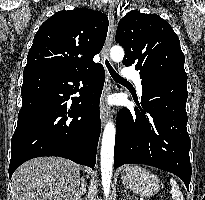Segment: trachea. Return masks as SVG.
<instances>
[{"label":"trachea","mask_w":205,"mask_h":200,"mask_svg":"<svg viewBox=\"0 0 205 200\" xmlns=\"http://www.w3.org/2000/svg\"><path fill=\"white\" fill-rule=\"evenodd\" d=\"M105 64H106V66H107V68L109 70V73L111 74L112 78L115 81L122 82V83H128L127 80H125L119 74L116 73V71L112 68V66L110 65L108 60L105 61Z\"/></svg>","instance_id":"obj_1"}]
</instances>
